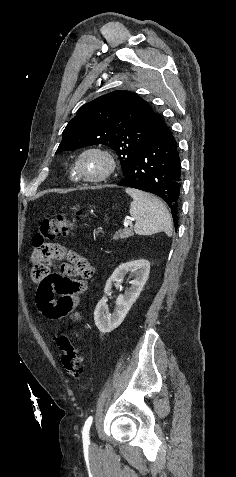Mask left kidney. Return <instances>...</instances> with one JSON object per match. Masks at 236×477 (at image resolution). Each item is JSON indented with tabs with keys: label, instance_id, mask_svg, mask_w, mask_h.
Returning <instances> with one entry per match:
<instances>
[{
	"label": "left kidney",
	"instance_id": "5707ae66",
	"mask_svg": "<svg viewBox=\"0 0 236 477\" xmlns=\"http://www.w3.org/2000/svg\"><path fill=\"white\" fill-rule=\"evenodd\" d=\"M149 272L150 263L144 259L121 264L115 269L106 282L104 288L105 296L98 302L94 311L95 325L101 333H110L123 322L128 311L139 297L148 279ZM126 274L134 275L135 279L130 282V289L124 295H120L117 298L114 312L106 315V296L111 294L112 284L121 283Z\"/></svg>",
	"mask_w": 236,
	"mask_h": 477
}]
</instances>
